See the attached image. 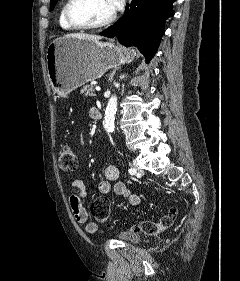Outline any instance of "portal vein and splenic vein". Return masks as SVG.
Returning <instances> with one entry per match:
<instances>
[{
  "label": "portal vein and splenic vein",
  "instance_id": "obj_1",
  "mask_svg": "<svg viewBox=\"0 0 240 281\" xmlns=\"http://www.w3.org/2000/svg\"><path fill=\"white\" fill-rule=\"evenodd\" d=\"M101 90V88L100 87H96V91H100Z\"/></svg>",
  "mask_w": 240,
  "mask_h": 281
}]
</instances>
